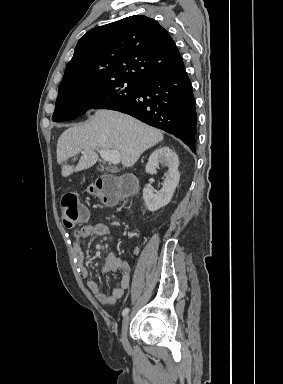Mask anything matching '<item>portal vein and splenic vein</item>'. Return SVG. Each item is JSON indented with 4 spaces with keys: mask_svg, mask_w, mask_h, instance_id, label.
I'll use <instances>...</instances> for the list:
<instances>
[{
    "mask_svg": "<svg viewBox=\"0 0 283 384\" xmlns=\"http://www.w3.org/2000/svg\"><path fill=\"white\" fill-rule=\"evenodd\" d=\"M98 152L105 162H110V164H119L121 162V156L116 150H98Z\"/></svg>",
    "mask_w": 283,
    "mask_h": 384,
    "instance_id": "1",
    "label": "portal vein and splenic vein"
}]
</instances>
